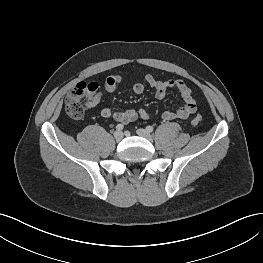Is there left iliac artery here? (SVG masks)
Wrapping results in <instances>:
<instances>
[{
	"instance_id": "obj_1",
	"label": "left iliac artery",
	"mask_w": 263,
	"mask_h": 263,
	"mask_svg": "<svg viewBox=\"0 0 263 263\" xmlns=\"http://www.w3.org/2000/svg\"><path fill=\"white\" fill-rule=\"evenodd\" d=\"M153 127L152 126H150V125H148L147 127H146V130L148 131V132H152L153 131Z\"/></svg>"
}]
</instances>
